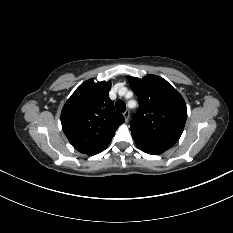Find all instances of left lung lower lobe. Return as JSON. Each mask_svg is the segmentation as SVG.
<instances>
[{
    "instance_id": "0a47b994",
    "label": "left lung lower lobe",
    "mask_w": 233,
    "mask_h": 233,
    "mask_svg": "<svg viewBox=\"0 0 233 233\" xmlns=\"http://www.w3.org/2000/svg\"><path fill=\"white\" fill-rule=\"evenodd\" d=\"M137 147L142 150L145 153L151 154V155H158L163 153L164 151L168 150L172 146H174L175 143L167 142V141H160V140H136Z\"/></svg>"
}]
</instances>
